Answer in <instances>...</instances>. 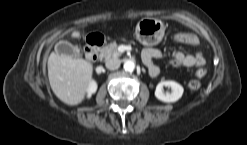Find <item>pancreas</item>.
<instances>
[{
  "label": "pancreas",
  "mask_w": 247,
  "mask_h": 145,
  "mask_svg": "<svg viewBox=\"0 0 247 145\" xmlns=\"http://www.w3.org/2000/svg\"><path fill=\"white\" fill-rule=\"evenodd\" d=\"M117 48L118 45L116 42L110 43L100 50V57L105 59L118 58L119 56H121V53L118 51Z\"/></svg>",
  "instance_id": "cf45deb5"
}]
</instances>
